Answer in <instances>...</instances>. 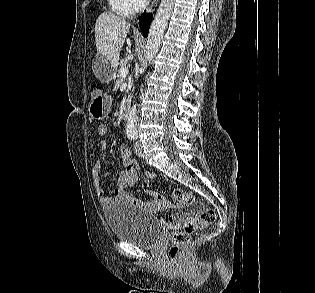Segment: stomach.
Returning <instances> with one entry per match:
<instances>
[{"instance_id": "obj_1", "label": "stomach", "mask_w": 315, "mask_h": 293, "mask_svg": "<svg viewBox=\"0 0 315 293\" xmlns=\"http://www.w3.org/2000/svg\"><path fill=\"white\" fill-rule=\"evenodd\" d=\"M112 100L101 90L91 93V101L89 104V114L94 119H104L110 112Z\"/></svg>"}]
</instances>
